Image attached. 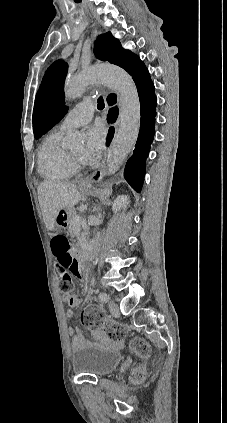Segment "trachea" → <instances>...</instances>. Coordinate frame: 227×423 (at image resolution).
Masks as SVG:
<instances>
[{
  "instance_id": "obj_1",
  "label": "trachea",
  "mask_w": 227,
  "mask_h": 423,
  "mask_svg": "<svg viewBox=\"0 0 227 423\" xmlns=\"http://www.w3.org/2000/svg\"><path fill=\"white\" fill-rule=\"evenodd\" d=\"M104 107H105V103H104L103 97H99L97 100V108L99 110H102Z\"/></svg>"
}]
</instances>
